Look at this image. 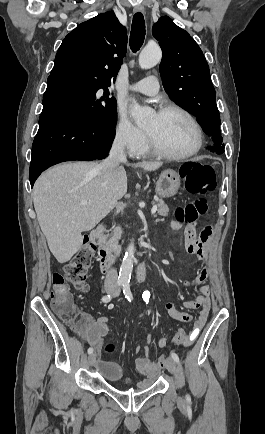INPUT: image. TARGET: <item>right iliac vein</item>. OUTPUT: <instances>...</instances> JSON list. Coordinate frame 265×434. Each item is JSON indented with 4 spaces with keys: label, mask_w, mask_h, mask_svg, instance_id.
Listing matches in <instances>:
<instances>
[{
    "label": "right iliac vein",
    "mask_w": 265,
    "mask_h": 434,
    "mask_svg": "<svg viewBox=\"0 0 265 434\" xmlns=\"http://www.w3.org/2000/svg\"><path fill=\"white\" fill-rule=\"evenodd\" d=\"M105 291L107 293H112L114 291V289L111 286H108V287L105 288ZM95 359H96V357H95L94 354L89 355V357H88V363H89L90 366H92L94 364Z\"/></svg>",
    "instance_id": "63e3f726"
}]
</instances>
